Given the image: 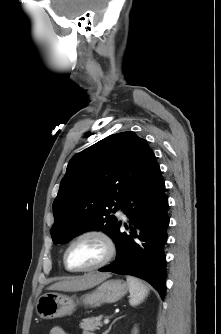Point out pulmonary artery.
<instances>
[{"instance_id": "1", "label": "pulmonary artery", "mask_w": 221, "mask_h": 334, "mask_svg": "<svg viewBox=\"0 0 221 334\" xmlns=\"http://www.w3.org/2000/svg\"><path fill=\"white\" fill-rule=\"evenodd\" d=\"M117 214L120 215V216H124V212H123V210L121 208H119L117 210Z\"/></svg>"}]
</instances>
